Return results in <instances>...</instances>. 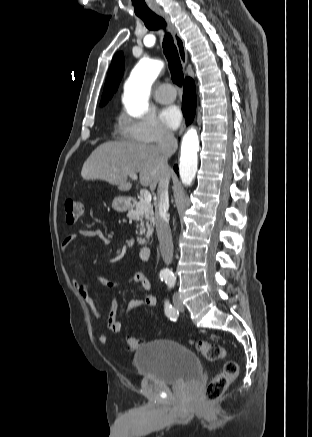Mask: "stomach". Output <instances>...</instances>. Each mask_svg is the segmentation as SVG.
Masks as SVG:
<instances>
[{
  "label": "stomach",
  "instance_id": "obj_1",
  "mask_svg": "<svg viewBox=\"0 0 312 437\" xmlns=\"http://www.w3.org/2000/svg\"><path fill=\"white\" fill-rule=\"evenodd\" d=\"M130 202L128 198L123 196H118L113 199L112 208L117 212H124L129 209Z\"/></svg>",
  "mask_w": 312,
  "mask_h": 437
}]
</instances>
